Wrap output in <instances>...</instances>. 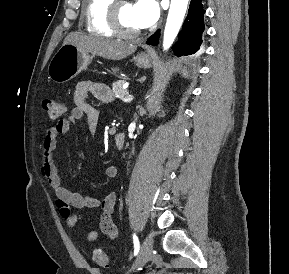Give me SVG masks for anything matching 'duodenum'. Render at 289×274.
<instances>
[{
    "label": "duodenum",
    "instance_id": "1",
    "mask_svg": "<svg viewBox=\"0 0 289 274\" xmlns=\"http://www.w3.org/2000/svg\"><path fill=\"white\" fill-rule=\"evenodd\" d=\"M115 146L118 150H122L125 146V135L123 133H117L114 137Z\"/></svg>",
    "mask_w": 289,
    "mask_h": 274
}]
</instances>
